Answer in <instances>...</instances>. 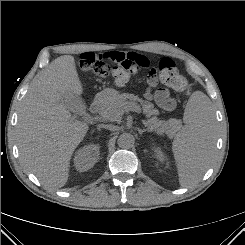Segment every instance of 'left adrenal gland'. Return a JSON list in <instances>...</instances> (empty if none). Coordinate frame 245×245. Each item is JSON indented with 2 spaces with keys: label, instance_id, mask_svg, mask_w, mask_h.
<instances>
[{
  "label": "left adrenal gland",
  "instance_id": "a2214340",
  "mask_svg": "<svg viewBox=\"0 0 245 245\" xmlns=\"http://www.w3.org/2000/svg\"><path fill=\"white\" fill-rule=\"evenodd\" d=\"M138 132L140 135H142L144 132H150L149 129H138Z\"/></svg>",
  "mask_w": 245,
  "mask_h": 245
}]
</instances>
